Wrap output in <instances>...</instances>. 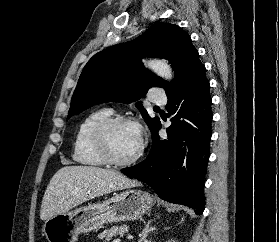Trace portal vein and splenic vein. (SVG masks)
<instances>
[{
	"mask_svg": "<svg viewBox=\"0 0 279 242\" xmlns=\"http://www.w3.org/2000/svg\"><path fill=\"white\" fill-rule=\"evenodd\" d=\"M114 242H120V240H115Z\"/></svg>",
	"mask_w": 279,
	"mask_h": 242,
	"instance_id": "portal-vein-and-splenic-vein-1",
	"label": "portal vein and splenic vein"
}]
</instances>
